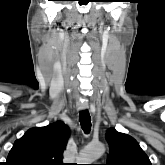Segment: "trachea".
<instances>
[{"mask_svg":"<svg viewBox=\"0 0 165 165\" xmlns=\"http://www.w3.org/2000/svg\"><path fill=\"white\" fill-rule=\"evenodd\" d=\"M79 121L84 132L88 134L91 130V117L88 110L80 111Z\"/></svg>","mask_w":165,"mask_h":165,"instance_id":"trachea-1","label":"trachea"}]
</instances>
